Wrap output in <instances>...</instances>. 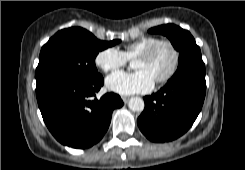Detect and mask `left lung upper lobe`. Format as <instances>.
I'll return each mask as SVG.
<instances>
[{
    "mask_svg": "<svg viewBox=\"0 0 245 170\" xmlns=\"http://www.w3.org/2000/svg\"><path fill=\"white\" fill-rule=\"evenodd\" d=\"M148 32L167 36L174 48L180 52L178 68L173 77L184 73L205 75L200 48L189 31L174 24H166L151 28Z\"/></svg>",
    "mask_w": 245,
    "mask_h": 170,
    "instance_id": "left-lung-upper-lobe-1",
    "label": "left lung upper lobe"
}]
</instances>
